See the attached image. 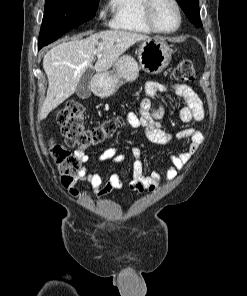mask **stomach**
I'll use <instances>...</instances> for the list:
<instances>
[{"label":"stomach","instance_id":"0dacf381","mask_svg":"<svg viewBox=\"0 0 247 296\" xmlns=\"http://www.w3.org/2000/svg\"><path fill=\"white\" fill-rule=\"evenodd\" d=\"M171 58V46L164 39L144 40L138 48L140 67L133 57L123 55L114 63L112 71L94 76L95 94L100 97L112 95L122 84L135 80L140 68L149 74H158L169 65Z\"/></svg>","mask_w":247,"mask_h":296}]
</instances>
